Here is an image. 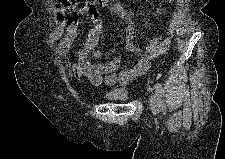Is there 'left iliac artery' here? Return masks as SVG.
<instances>
[{
	"mask_svg": "<svg viewBox=\"0 0 225 159\" xmlns=\"http://www.w3.org/2000/svg\"><path fill=\"white\" fill-rule=\"evenodd\" d=\"M155 92H156V95L160 101V110L164 111L165 109V103H164V97H163V88H162V85L160 83H157L155 85Z\"/></svg>",
	"mask_w": 225,
	"mask_h": 159,
	"instance_id": "44dca946",
	"label": "left iliac artery"
}]
</instances>
